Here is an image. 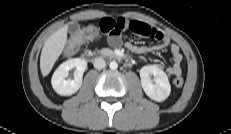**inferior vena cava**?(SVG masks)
Masks as SVG:
<instances>
[{"instance_id": "obj_1", "label": "inferior vena cava", "mask_w": 231, "mask_h": 134, "mask_svg": "<svg viewBox=\"0 0 231 134\" xmlns=\"http://www.w3.org/2000/svg\"><path fill=\"white\" fill-rule=\"evenodd\" d=\"M93 65L96 69L101 70L106 66V62L103 58L99 57L94 60Z\"/></svg>"}]
</instances>
